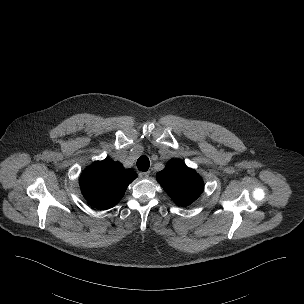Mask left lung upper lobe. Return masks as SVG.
Masks as SVG:
<instances>
[{
  "label": "left lung upper lobe",
  "instance_id": "left-lung-upper-lobe-1",
  "mask_svg": "<svg viewBox=\"0 0 304 304\" xmlns=\"http://www.w3.org/2000/svg\"><path fill=\"white\" fill-rule=\"evenodd\" d=\"M157 180L179 206L195 201L204 188L203 180L196 171L179 160H170L164 170L157 173Z\"/></svg>",
  "mask_w": 304,
  "mask_h": 304
}]
</instances>
